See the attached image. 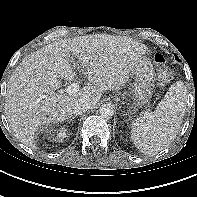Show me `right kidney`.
I'll list each match as a JSON object with an SVG mask.
<instances>
[{
	"mask_svg": "<svg viewBox=\"0 0 197 197\" xmlns=\"http://www.w3.org/2000/svg\"><path fill=\"white\" fill-rule=\"evenodd\" d=\"M66 137H67V129L65 127H61L59 129L55 130V132L53 134V139H55V140L58 139L59 141H62Z\"/></svg>",
	"mask_w": 197,
	"mask_h": 197,
	"instance_id": "ca27d5eb",
	"label": "right kidney"
}]
</instances>
